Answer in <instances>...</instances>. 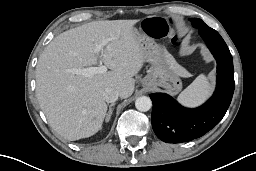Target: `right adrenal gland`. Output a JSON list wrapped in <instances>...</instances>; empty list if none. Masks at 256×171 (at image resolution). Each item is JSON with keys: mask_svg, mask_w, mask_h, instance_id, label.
I'll return each instance as SVG.
<instances>
[{"mask_svg": "<svg viewBox=\"0 0 256 171\" xmlns=\"http://www.w3.org/2000/svg\"><path fill=\"white\" fill-rule=\"evenodd\" d=\"M115 105V103H112L109 105V110H108V113L106 114V117H105V122H108L111 118V115H112V112H113V109L112 107Z\"/></svg>", "mask_w": 256, "mask_h": 171, "instance_id": "2a0ac1e0", "label": "right adrenal gland"}]
</instances>
